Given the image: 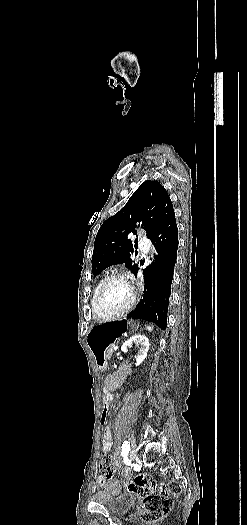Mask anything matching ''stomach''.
Here are the masks:
<instances>
[{"label":"stomach","mask_w":247,"mask_h":525,"mask_svg":"<svg viewBox=\"0 0 247 525\" xmlns=\"http://www.w3.org/2000/svg\"><path fill=\"white\" fill-rule=\"evenodd\" d=\"M137 328L138 325L136 323L127 319H120L96 324L90 329L86 343L99 369L103 370L106 368V349L112 346L121 336L131 333Z\"/></svg>","instance_id":"0dacf381"}]
</instances>
